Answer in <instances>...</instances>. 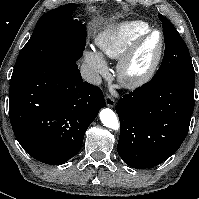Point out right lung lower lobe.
<instances>
[{
  "mask_svg": "<svg viewBox=\"0 0 199 199\" xmlns=\"http://www.w3.org/2000/svg\"><path fill=\"white\" fill-rule=\"evenodd\" d=\"M103 107L99 87L84 82L76 62L64 56H54L10 83L15 137L27 153L46 164L75 156Z\"/></svg>",
  "mask_w": 199,
  "mask_h": 199,
  "instance_id": "right-lung-lower-lobe-1",
  "label": "right lung lower lobe"
}]
</instances>
